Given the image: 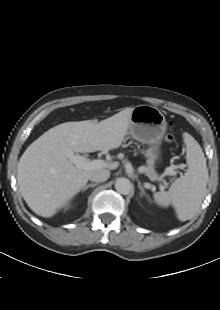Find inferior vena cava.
I'll use <instances>...</instances> for the list:
<instances>
[{"instance_id": "inferior-vena-cava-1", "label": "inferior vena cava", "mask_w": 220, "mask_h": 310, "mask_svg": "<svg viewBox=\"0 0 220 310\" xmlns=\"http://www.w3.org/2000/svg\"><path fill=\"white\" fill-rule=\"evenodd\" d=\"M109 176L110 172L108 170H102L92 173L89 179L93 182H104Z\"/></svg>"}]
</instances>
